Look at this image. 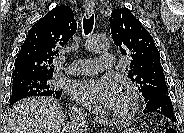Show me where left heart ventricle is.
<instances>
[{
    "instance_id": "b2bd125f",
    "label": "left heart ventricle",
    "mask_w": 184,
    "mask_h": 133,
    "mask_svg": "<svg viewBox=\"0 0 184 133\" xmlns=\"http://www.w3.org/2000/svg\"><path fill=\"white\" fill-rule=\"evenodd\" d=\"M120 106H121V98L119 97L118 102H117V104L115 105V107L113 109L114 112L117 111L120 108Z\"/></svg>"
}]
</instances>
